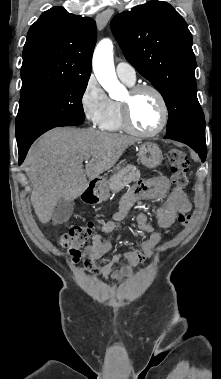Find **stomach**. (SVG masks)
Masks as SVG:
<instances>
[{"label":"stomach","mask_w":221,"mask_h":379,"mask_svg":"<svg viewBox=\"0 0 221 379\" xmlns=\"http://www.w3.org/2000/svg\"><path fill=\"white\" fill-rule=\"evenodd\" d=\"M138 157L140 162L148 167L155 168L159 166L163 160L162 151L156 143L145 142L141 144L138 148ZM124 162H120L115 168L114 171H120L121 165H124ZM97 196L99 199L103 200L109 196V186L105 180L100 181L97 188Z\"/></svg>","instance_id":"stomach-1"}]
</instances>
